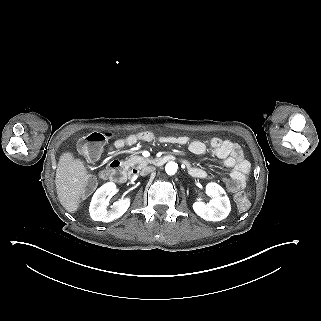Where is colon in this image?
Masks as SVG:
<instances>
[{
  "mask_svg": "<svg viewBox=\"0 0 321 321\" xmlns=\"http://www.w3.org/2000/svg\"><path fill=\"white\" fill-rule=\"evenodd\" d=\"M111 137V133L90 132L85 135L78 143V150L81 154L89 158H97L102 150L104 143ZM229 187L235 193V202L239 211H244L249 207L247 195L239 189L236 181H231Z\"/></svg>",
  "mask_w": 321,
  "mask_h": 321,
  "instance_id": "1",
  "label": "colon"
}]
</instances>
